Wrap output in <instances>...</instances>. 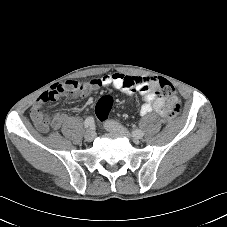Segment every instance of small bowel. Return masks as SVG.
Returning <instances> with one entry per match:
<instances>
[{
  "label": "small bowel",
  "mask_w": 227,
  "mask_h": 227,
  "mask_svg": "<svg viewBox=\"0 0 227 227\" xmlns=\"http://www.w3.org/2000/svg\"><path fill=\"white\" fill-rule=\"evenodd\" d=\"M159 79L161 78L113 73L92 79L89 82L69 80L64 83H57L49 91L38 97L31 107L30 117L35 127L41 132H46L50 127L58 129L66 116L61 113L44 114L42 108L47 102L54 101L66 93H69L71 99L78 96L85 98L92 90L102 86H112L126 95L138 93L144 101L140 107L141 115L155 111L162 117L176 116L180 112L178 97L174 93L170 95L161 93L158 85Z\"/></svg>",
  "instance_id": "1"
}]
</instances>
